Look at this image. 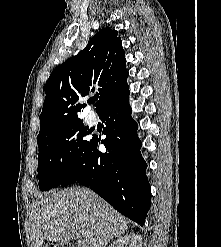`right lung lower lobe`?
<instances>
[{"mask_svg": "<svg viewBox=\"0 0 221 247\" xmlns=\"http://www.w3.org/2000/svg\"><path fill=\"white\" fill-rule=\"evenodd\" d=\"M106 128L102 141L90 139L87 150L61 186L79 183L87 186L117 211L141 226L150 208L151 188L145 170L138 125L131 117L129 91L99 113ZM102 143L106 152L99 151Z\"/></svg>", "mask_w": 221, "mask_h": 247, "instance_id": "obj_1", "label": "right lung lower lobe"}]
</instances>
